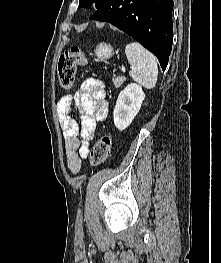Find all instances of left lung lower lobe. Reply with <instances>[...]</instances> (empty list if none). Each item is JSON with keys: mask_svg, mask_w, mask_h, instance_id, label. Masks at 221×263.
Masks as SVG:
<instances>
[{"mask_svg": "<svg viewBox=\"0 0 221 263\" xmlns=\"http://www.w3.org/2000/svg\"><path fill=\"white\" fill-rule=\"evenodd\" d=\"M173 0H105L90 20L111 23L157 56L163 71L173 41Z\"/></svg>", "mask_w": 221, "mask_h": 263, "instance_id": "1", "label": "left lung lower lobe"}]
</instances>
